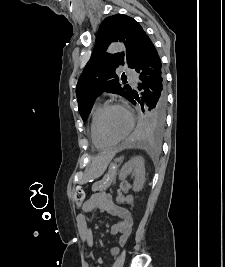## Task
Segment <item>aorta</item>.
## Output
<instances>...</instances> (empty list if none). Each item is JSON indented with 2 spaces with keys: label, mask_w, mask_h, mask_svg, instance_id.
<instances>
[{
  "label": "aorta",
  "mask_w": 225,
  "mask_h": 267,
  "mask_svg": "<svg viewBox=\"0 0 225 267\" xmlns=\"http://www.w3.org/2000/svg\"><path fill=\"white\" fill-rule=\"evenodd\" d=\"M109 51H110V52H115V51H119V52H120V51H125V47H124V45L121 44V43H115V44H113V45L110 46Z\"/></svg>",
  "instance_id": "aorta-1"
}]
</instances>
